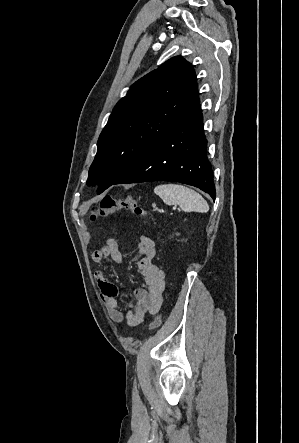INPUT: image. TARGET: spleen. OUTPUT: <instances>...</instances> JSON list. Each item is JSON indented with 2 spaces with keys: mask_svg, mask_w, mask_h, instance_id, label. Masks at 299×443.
I'll list each match as a JSON object with an SVG mask.
<instances>
[{
  "mask_svg": "<svg viewBox=\"0 0 299 443\" xmlns=\"http://www.w3.org/2000/svg\"><path fill=\"white\" fill-rule=\"evenodd\" d=\"M165 204H178L185 212L206 213L209 210L207 201L196 191L178 184H162L154 189Z\"/></svg>",
  "mask_w": 299,
  "mask_h": 443,
  "instance_id": "1",
  "label": "spleen"
}]
</instances>
